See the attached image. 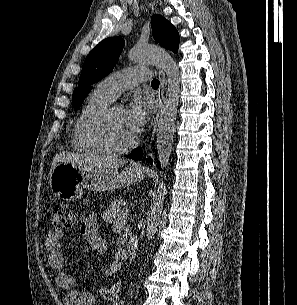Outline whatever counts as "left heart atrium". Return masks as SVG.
<instances>
[{
	"mask_svg": "<svg viewBox=\"0 0 297 305\" xmlns=\"http://www.w3.org/2000/svg\"><path fill=\"white\" fill-rule=\"evenodd\" d=\"M123 117L129 130L136 137L148 121L147 104L140 97L133 98L123 111Z\"/></svg>",
	"mask_w": 297,
	"mask_h": 305,
	"instance_id": "obj_1",
	"label": "left heart atrium"
}]
</instances>
